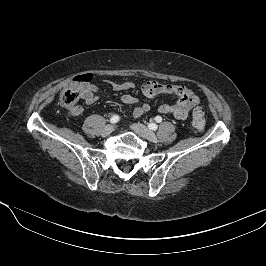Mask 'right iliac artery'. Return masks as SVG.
<instances>
[{
  "label": "right iliac artery",
  "mask_w": 266,
  "mask_h": 266,
  "mask_svg": "<svg viewBox=\"0 0 266 266\" xmlns=\"http://www.w3.org/2000/svg\"><path fill=\"white\" fill-rule=\"evenodd\" d=\"M120 117L118 115H114L111 117L110 119V123L114 124L117 123L119 121Z\"/></svg>",
  "instance_id": "right-iliac-artery-1"
}]
</instances>
